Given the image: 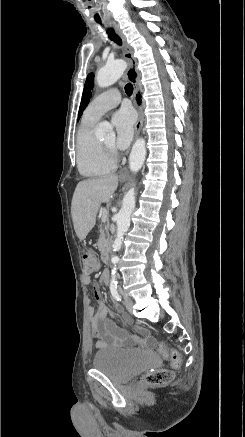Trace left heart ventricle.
Segmentation results:
<instances>
[{"instance_id": "b2bd125f", "label": "left heart ventricle", "mask_w": 245, "mask_h": 437, "mask_svg": "<svg viewBox=\"0 0 245 437\" xmlns=\"http://www.w3.org/2000/svg\"><path fill=\"white\" fill-rule=\"evenodd\" d=\"M103 143L106 144L107 146L112 147L114 144V137L113 136H109L106 139L103 140Z\"/></svg>"}]
</instances>
